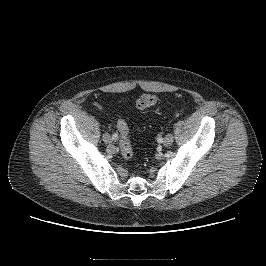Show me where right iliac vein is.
I'll return each instance as SVG.
<instances>
[{
    "mask_svg": "<svg viewBox=\"0 0 266 266\" xmlns=\"http://www.w3.org/2000/svg\"><path fill=\"white\" fill-rule=\"evenodd\" d=\"M103 140H104L105 143H108V144H110L112 142V139H111L110 135L107 134V133H105L103 135Z\"/></svg>",
    "mask_w": 266,
    "mask_h": 266,
    "instance_id": "1",
    "label": "right iliac vein"
}]
</instances>
